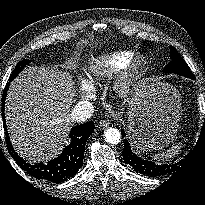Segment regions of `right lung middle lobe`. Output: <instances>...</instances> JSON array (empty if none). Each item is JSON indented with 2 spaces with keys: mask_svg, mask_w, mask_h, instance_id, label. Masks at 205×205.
<instances>
[{
  "mask_svg": "<svg viewBox=\"0 0 205 205\" xmlns=\"http://www.w3.org/2000/svg\"><path fill=\"white\" fill-rule=\"evenodd\" d=\"M28 63H30V60H27V59H24V60H22V61H20L17 65H16V67H15V69H14V71H13V73L11 74V77H10V82L21 72V70L23 69V67H25Z\"/></svg>",
  "mask_w": 205,
  "mask_h": 205,
  "instance_id": "right-lung-middle-lobe-1",
  "label": "right lung middle lobe"
}]
</instances>
